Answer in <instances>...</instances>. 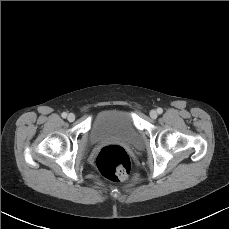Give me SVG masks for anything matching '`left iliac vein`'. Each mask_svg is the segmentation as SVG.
<instances>
[{"instance_id":"left-iliac-vein-1","label":"left iliac vein","mask_w":229,"mask_h":229,"mask_svg":"<svg viewBox=\"0 0 229 229\" xmlns=\"http://www.w3.org/2000/svg\"><path fill=\"white\" fill-rule=\"evenodd\" d=\"M157 112L155 111V110H151L150 111V117L152 118V119H155L156 117H157Z\"/></svg>"}]
</instances>
